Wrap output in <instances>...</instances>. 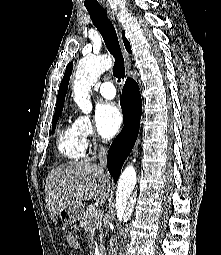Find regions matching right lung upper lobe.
<instances>
[{"instance_id":"right-lung-upper-lobe-1","label":"right lung upper lobe","mask_w":221,"mask_h":255,"mask_svg":"<svg viewBox=\"0 0 221 255\" xmlns=\"http://www.w3.org/2000/svg\"><path fill=\"white\" fill-rule=\"evenodd\" d=\"M122 38H123V42H124L126 50L130 53L131 52L130 43L125 38L124 31H122ZM72 69H73V63L71 62L66 67L64 77H63V79L61 81V84H60V87H59L58 96H57V103H56V112H60L63 109L65 95H66L69 79H70V76H71V73H72Z\"/></svg>"}]
</instances>
